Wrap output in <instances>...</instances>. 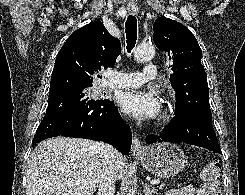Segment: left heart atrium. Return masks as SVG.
Listing matches in <instances>:
<instances>
[{"label":"left heart atrium","mask_w":245,"mask_h":195,"mask_svg":"<svg viewBox=\"0 0 245 195\" xmlns=\"http://www.w3.org/2000/svg\"><path fill=\"white\" fill-rule=\"evenodd\" d=\"M118 103L126 114L140 121L155 119L160 112V104L155 94L140 89L119 93Z\"/></svg>","instance_id":"39dd6f15"}]
</instances>
